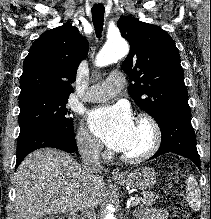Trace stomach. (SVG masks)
Returning a JSON list of instances; mask_svg holds the SVG:
<instances>
[{
  "label": "stomach",
  "mask_w": 211,
  "mask_h": 219,
  "mask_svg": "<svg viewBox=\"0 0 211 219\" xmlns=\"http://www.w3.org/2000/svg\"><path fill=\"white\" fill-rule=\"evenodd\" d=\"M157 177L158 174L153 169L142 167L128 173L122 183L131 188L146 190L155 184Z\"/></svg>",
  "instance_id": "0dacf381"
}]
</instances>
